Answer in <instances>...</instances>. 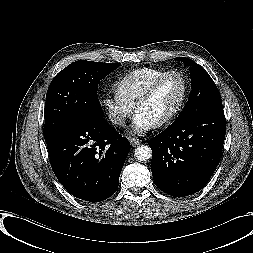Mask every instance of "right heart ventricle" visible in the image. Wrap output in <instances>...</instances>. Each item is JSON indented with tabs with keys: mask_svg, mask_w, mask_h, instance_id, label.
<instances>
[{
	"mask_svg": "<svg viewBox=\"0 0 253 253\" xmlns=\"http://www.w3.org/2000/svg\"><path fill=\"white\" fill-rule=\"evenodd\" d=\"M165 71L167 70L154 67L133 69L117 79L114 84L115 92L135 106L147 86Z\"/></svg>",
	"mask_w": 253,
	"mask_h": 253,
	"instance_id": "obj_1",
	"label": "right heart ventricle"
}]
</instances>
